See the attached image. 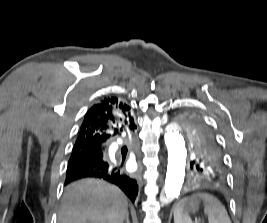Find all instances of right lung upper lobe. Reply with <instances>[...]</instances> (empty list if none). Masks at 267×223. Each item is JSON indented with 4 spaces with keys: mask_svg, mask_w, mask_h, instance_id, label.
I'll return each instance as SVG.
<instances>
[{
    "mask_svg": "<svg viewBox=\"0 0 267 223\" xmlns=\"http://www.w3.org/2000/svg\"><path fill=\"white\" fill-rule=\"evenodd\" d=\"M135 129L130 107L115 96L104 97L86 113L73 149L90 147L103 151L110 139Z\"/></svg>",
    "mask_w": 267,
    "mask_h": 223,
    "instance_id": "right-lung-upper-lobe-1",
    "label": "right lung upper lobe"
}]
</instances>
